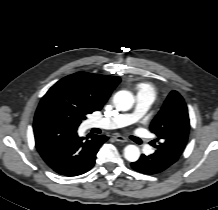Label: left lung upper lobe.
I'll use <instances>...</instances> for the list:
<instances>
[{
    "label": "left lung upper lobe",
    "instance_id": "left-lung-upper-lobe-1",
    "mask_svg": "<svg viewBox=\"0 0 218 210\" xmlns=\"http://www.w3.org/2000/svg\"><path fill=\"white\" fill-rule=\"evenodd\" d=\"M150 129L160 140L157 150L178 159L187 144L190 129L187 106L178 92L168 95Z\"/></svg>",
    "mask_w": 218,
    "mask_h": 210
}]
</instances>
